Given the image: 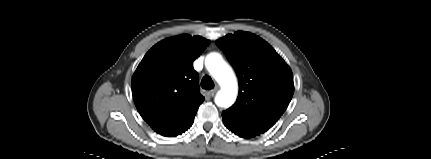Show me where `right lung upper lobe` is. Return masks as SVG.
<instances>
[{"label": "right lung upper lobe", "mask_w": 431, "mask_h": 159, "mask_svg": "<svg viewBox=\"0 0 431 159\" xmlns=\"http://www.w3.org/2000/svg\"><path fill=\"white\" fill-rule=\"evenodd\" d=\"M200 36L180 35L154 45L132 77L134 103L157 133L174 137L190 128L204 97L193 61L208 46Z\"/></svg>", "instance_id": "right-lung-upper-lobe-1"}]
</instances>
